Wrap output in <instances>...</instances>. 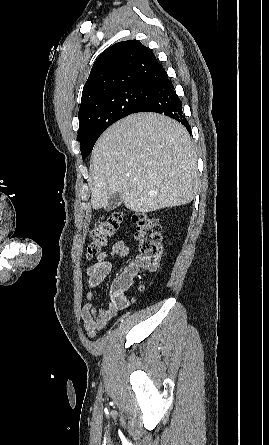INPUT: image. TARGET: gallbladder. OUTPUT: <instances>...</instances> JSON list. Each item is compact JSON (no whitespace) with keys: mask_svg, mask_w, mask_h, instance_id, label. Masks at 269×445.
I'll return each instance as SVG.
<instances>
[{"mask_svg":"<svg viewBox=\"0 0 269 445\" xmlns=\"http://www.w3.org/2000/svg\"><path fill=\"white\" fill-rule=\"evenodd\" d=\"M122 203V199L119 195V193H114L110 196L108 199L107 205L105 206L106 211H112L118 206H120Z\"/></svg>","mask_w":269,"mask_h":445,"instance_id":"1","label":"gallbladder"}]
</instances>
